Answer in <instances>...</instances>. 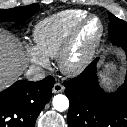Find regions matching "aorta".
<instances>
[{
    "mask_svg": "<svg viewBox=\"0 0 127 127\" xmlns=\"http://www.w3.org/2000/svg\"><path fill=\"white\" fill-rule=\"evenodd\" d=\"M53 107L57 111H65L69 108V100L65 95L58 94L54 96L52 101Z\"/></svg>",
    "mask_w": 127,
    "mask_h": 127,
    "instance_id": "1",
    "label": "aorta"
}]
</instances>
